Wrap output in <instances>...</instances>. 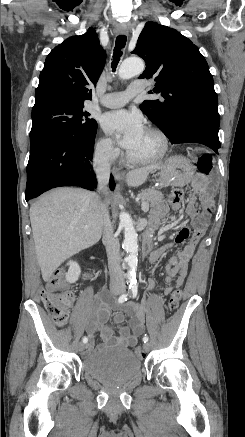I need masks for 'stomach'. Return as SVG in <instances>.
<instances>
[{
    "label": "stomach",
    "instance_id": "1",
    "mask_svg": "<svg viewBox=\"0 0 245 437\" xmlns=\"http://www.w3.org/2000/svg\"><path fill=\"white\" fill-rule=\"evenodd\" d=\"M159 182L161 186L183 187L191 182L194 167L184 156H174L169 158L160 167Z\"/></svg>",
    "mask_w": 245,
    "mask_h": 437
}]
</instances>
